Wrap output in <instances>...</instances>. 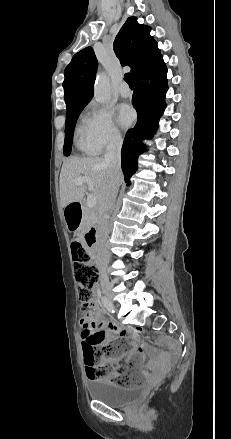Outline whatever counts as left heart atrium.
Returning <instances> with one entry per match:
<instances>
[{
	"label": "left heart atrium",
	"instance_id": "left-heart-atrium-1",
	"mask_svg": "<svg viewBox=\"0 0 231 439\" xmlns=\"http://www.w3.org/2000/svg\"><path fill=\"white\" fill-rule=\"evenodd\" d=\"M134 118H135L134 111L128 105L121 104L117 108V119L122 127L124 128L129 127L134 121Z\"/></svg>",
	"mask_w": 231,
	"mask_h": 439
}]
</instances>
